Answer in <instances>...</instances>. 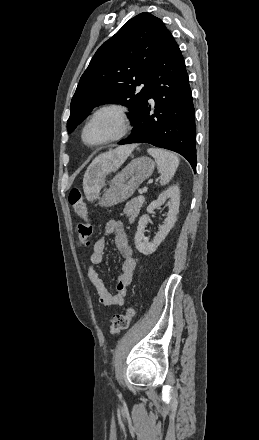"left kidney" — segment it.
<instances>
[{
	"mask_svg": "<svg viewBox=\"0 0 259 440\" xmlns=\"http://www.w3.org/2000/svg\"><path fill=\"white\" fill-rule=\"evenodd\" d=\"M167 200L169 206L167 217L164 220V224L159 228V231L155 235L152 242H149L144 237V230L148 223L149 215H142L138 221L134 241L136 249L144 255H150L156 251L160 243L165 239L176 222L180 205V190L177 185L171 186L162 192L156 200L152 201L148 205L147 212L152 213L154 209L164 204Z\"/></svg>",
	"mask_w": 259,
	"mask_h": 440,
	"instance_id": "1",
	"label": "left kidney"
}]
</instances>
